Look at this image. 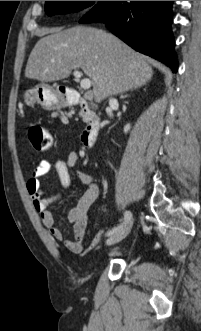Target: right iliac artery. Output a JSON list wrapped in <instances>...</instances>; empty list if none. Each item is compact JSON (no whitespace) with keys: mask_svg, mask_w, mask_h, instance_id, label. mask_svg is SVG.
I'll list each match as a JSON object with an SVG mask.
<instances>
[{"mask_svg":"<svg viewBox=\"0 0 201 331\" xmlns=\"http://www.w3.org/2000/svg\"><path fill=\"white\" fill-rule=\"evenodd\" d=\"M124 223L122 224V225H120V226H118L117 228H115V229H113V230H111V231H109L108 233H107V235L109 236V235H112L114 232H116L118 229H120L122 226H124L130 219H131V213H130V211H126L125 213H124Z\"/></svg>","mask_w":201,"mask_h":331,"instance_id":"82829eb1","label":"right iliac artery"}]
</instances>
